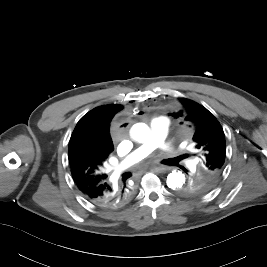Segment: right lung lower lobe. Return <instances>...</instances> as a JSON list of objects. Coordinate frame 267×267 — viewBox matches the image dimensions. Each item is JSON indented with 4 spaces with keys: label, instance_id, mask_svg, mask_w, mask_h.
<instances>
[{
    "label": "right lung lower lobe",
    "instance_id": "1",
    "mask_svg": "<svg viewBox=\"0 0 267 267\" xmlns=\"http://www.w3.org/2000/svg\"><path fill=\"white\" fill-rule=\"evenodd\" d=\"M80 191L96 206L109 209L121 207L131 198L130 189L126 185L112 186L107 180Z\"/></svg>",
    "mask_w": 267,
    "mask_h": 267
}]
</instances>
